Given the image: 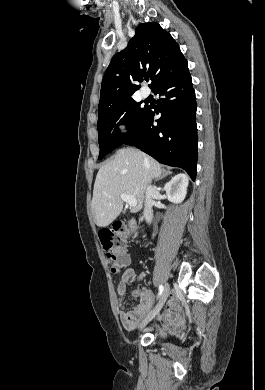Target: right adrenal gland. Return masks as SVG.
Returning <instances> with one entry per match:
<instances>
[{"mask_svg": "<svg viewBox=\"0 0 265 390\" xmlns=\"http://www.w3.org/2000/svg\"><path fill=\"white\" fill-rule=\"evenodd\" d=\"M170 174H171V172H167V171L163 170V176L158 177L156 179V181H159V180L163 179L165 176H168Z\"/></svg>", "mask_w": 265, "mask_h": 390, "instance_id": "2a0ac1e0", "label": "right adrenal gland"}]
</instances>
